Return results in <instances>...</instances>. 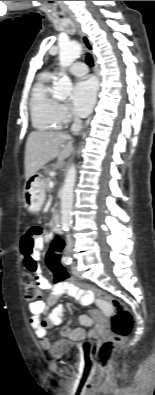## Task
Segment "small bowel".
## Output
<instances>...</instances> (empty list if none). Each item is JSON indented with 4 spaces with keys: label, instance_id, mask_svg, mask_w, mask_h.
<instances>
[{
    "label": "small bowel",
    "instance_id": "c3829d8e",
    "mask_svg": "<svg viewBox=\"0 0 155 395\" xmlns=\"http://www.w3.org/2000/svg\"><path fill=\"white\" fill-rule=\"evenodd\" d=\"M43 248V241L41 232L34 228L22 236L20 241V251L23 256V262L28 271H30L37 279L40 287L49 290V296L46 301L37 300L29 304V311L31 317L29 324L33 328L36 336L40 340V344L44 349H48L53 345V341L47 338L48 330L62 322L63 307L56 305L58 299L65 293L75 297L81 304L88 305L92 301L98 304V311H102L103 315H112L113 304H109L108 300H102L101 296H94L88 288H81L74 283H63L62 288L56 283H51L43 274L38 263L40 252ZM31 263H27V260ZM52 310L46 319L42 315L46 313L49 308ZM100 318V314H96ZM79 322L86 327L94 326V329L89 335L94 336L103 331L101 323H97L94 317L81 316ZM88 333L83 328L72 329L69 326H64L59 333L60 338H68L74 341H81L87 337Z\"/></svg>",
    "mask_w": 155,
    "mask_h": 395
}]
</instances>
